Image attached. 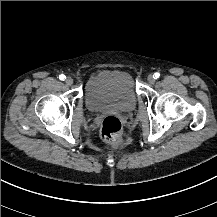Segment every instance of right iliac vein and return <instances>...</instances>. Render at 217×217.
Here are the masks:
<instances>
[{"instance_id":"right-iliac-vein-1","label":"right iliac vein","mask_w":217,"mask_h":217,"mask_svg":"<svg viewBox=\"0 0 217 217\" xmlns=\"http://www.w3.org/2000/svg\"><path fill=\"white\" fill-rule=\"evenodd\" d=\"M65 83L67 86H71L73 84V79L71 77L66 78Z\"/></svg>"}]
</instances>
